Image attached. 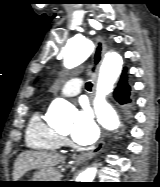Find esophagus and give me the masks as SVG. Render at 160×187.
Instances as JSON below:
<instances>
[{
    "label": "esophagus",
    "mask_w": 160,
    "mask_h": 187,
    "mask_svg": "<svg viewBox=\"0 0 160 187\" xmlns=\"http://www.w3.org/2000/svg\"><path fill=\"white\" fill-rule=\"evenodd\" d=\"M105 52H106L105 42L100 36H98L96 38L95 50H94L93 59H92L91 67H90V74L93 78V81H96L98 69L103 61ZM104 146H105V140H104V135H102L98 144L96 146L90 148L89 150L79 154L76 157V161L77 162H84V161L91 159L96 154L101 152L103 150Z\"/></svg>",
    "instance_id": "esophagus-1"
}]
</instances>
